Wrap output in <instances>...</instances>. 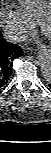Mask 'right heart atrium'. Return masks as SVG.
I'll return each instance as SVG.
<instances>
[{"instance_id":"d8ad5b80","label":"right heart atrium","mask_w":51,"mask_h":153,"mask_svg":"<svg viewBox=\"0 0 51 153\" xmlns=\"http://www.w3.org/2000/svg\"><path fill=\"white\" fill-rule=\"evenodd\" d=\"M0 20L4 31L16 41L30 34L34 27L18 7H3Z\"/></svg>"}]
</instances>
